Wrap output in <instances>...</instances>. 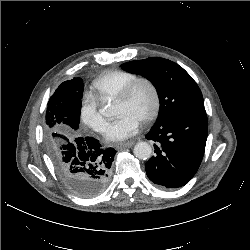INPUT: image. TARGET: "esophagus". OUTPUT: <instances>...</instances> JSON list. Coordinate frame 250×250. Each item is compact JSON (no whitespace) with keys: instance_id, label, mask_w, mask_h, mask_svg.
Listing matches in <instances>:
<instances>
[{"instance_id":"34e87169","label":"esophagus","mask_w":250,"mask_h":250,"mask_svg":"<svg viewBox=\"0 0 250 250\" xmlns=\"http://www.w3.org/2000/svg\"><path fill=\"white\" fill-rule=\"evenodd\" d=\"M133 144H134V142L131 141V142H126V143L117 144L115 147H116L117 149H120V148H128V147H131Z\"/></svg>"}]
</instances>
